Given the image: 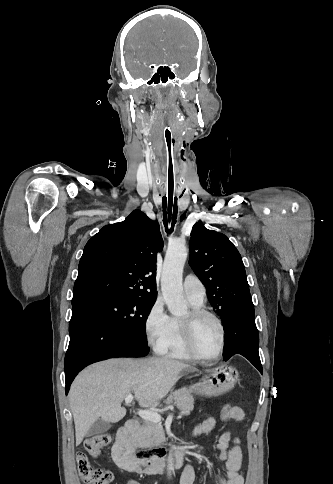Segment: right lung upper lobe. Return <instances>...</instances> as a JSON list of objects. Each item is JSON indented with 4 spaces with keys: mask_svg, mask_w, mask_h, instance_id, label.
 <instances>
[{
    "mask_svg": "<svg viewBox=\"0 0 333 484\" xmlns=\"http://www.w3.org/2000/svg\"><path fill=\"white\" fill-rule=\"evenodd\" d=\"M162 248L158 223L139 210L104 226L85 245L72 304L94 293L155 298L156 258Z\"/></svg>",
    "mask_w": 333,
    "mask_h": 484,
    "instance_id": "cb5924a9",
    "label": "right lung upper lobe"
}]
</instances>
